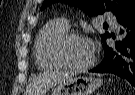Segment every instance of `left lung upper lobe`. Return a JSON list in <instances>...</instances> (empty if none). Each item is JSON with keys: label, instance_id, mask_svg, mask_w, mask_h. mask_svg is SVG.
<instances>
[{"label": "left lung upper lobe", "instance_id": "obj_1", "mask_svg": "<svg viewBox=\"0 0 135 95\" xmlns=\"http://www.w3.org/2000/svg\"><path fill=\"white\" fill-rule=\"evenodd\" d=\"M61 1L72 5H79L88 15L103 14L106 12L115 15L117 21L124 19L135 11V0H45L41 10L51 3ZM109 33L101 35V40Z\"/></svg>", "mask_w": 135, "mask_h": 95}]
</instances>
